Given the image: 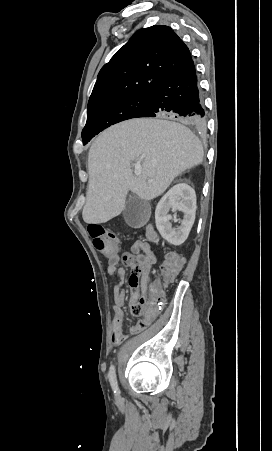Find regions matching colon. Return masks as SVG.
Wrapping results in <instances>:
<instances>
[{"mask_svg": "<svg viewBox=\"0 0 272 451\" xmlns=\"http://www.w3.org/2000/svg\"><path fill=\"white\" fill-rule=\"evenodd\" d=\"M88 231L93 239V244L98 252L103 256H116L118 243L115 241L116 236L113 233H107L106 229L100 225L89 226ZM168 262H162L161 268L163 271V277L169 281L170 278L175 277V271L182 269V264L177 259V253L175 251H168L166 253ZM122 263L125 267L135 271H149L150 264L145 258H138L130 253L124 252L121 255ZM108 265L112 270L117 268V260L110 258ZM163 279V278H162ZM170 296L167 294L166 288H144L143 294H140L139 301L134 303L131 311L132 314H141L143 310H154L155 307L169 303ZM148 324L147 320H140L131 329V332L137 333L143 330ZM124 340V336L118 329L113 330L112 342L118 346Z\"/></svg>", "mask_w": 272, "mask_h": 451, "instance_id": "obj_1", "label": "colon"}]
</instances>
